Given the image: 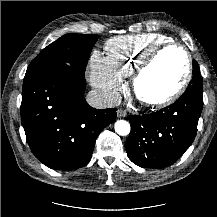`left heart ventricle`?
I'll return each mask as SVG.
<instances>
[{
  "label": "left heart ventricle",
  "mask_w": 217,
  "mask_h": 217,
  "mask_svg": "<svg viewBox=\"0 0 217 217\" xmlns=\"http://www.w3.org/2000/svg\"><path fill=\"white\" fill-rule=\"evenodd\" d=\"M187 69L185 55L178 49L163 52L137 86L138 96L144 100H155L175 91L182 82Z\"/></svg>",
  "instance_id": "1"
}]
</instances>
